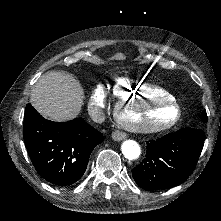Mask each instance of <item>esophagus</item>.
<instances>
[{"mask_svg": "<svg viewBox=\"0 0 221 221\" xmlns=\"http://www.w3.org/2000/svg\"><path fill=\"white\" fill-rule=\"evenodd\" d=\"M126 137H127L126 133L119 131V130H116L112 133L113 140L120 141V140L125 139Z\"/></svg>", "mask_w": 221, "mask_h": 221, "instance_id": "1", "label": "esophagus"}]
</instances>
